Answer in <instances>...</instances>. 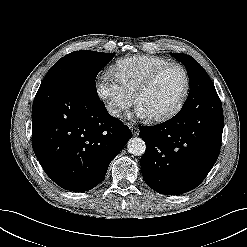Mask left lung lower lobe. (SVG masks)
<instances>
[{"instance_id":"left-lung-lower-lobe-1","label":"left lung lower lobe","mask_w":247,"mask_h":247,"mask_svg":"<svg viewBox=\"0 0 247 247\" xmlns=\"http://www.w3.org/2000/svg\"><path fill=\"white\" fill-rule=\"evenodd\" d=\"M200 93L171 119L155 126H141L146 143L140 159L143 179L165 195L196 188L215 164L222 140L223 110L213 86Z\"/></svg>"}]
</instances>
